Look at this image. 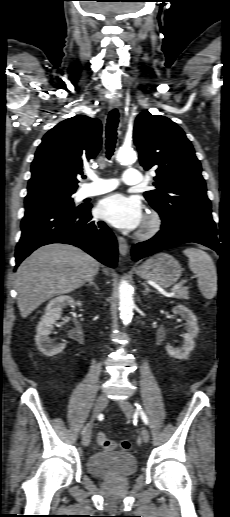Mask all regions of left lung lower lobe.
Masks as SVG:
<instances>
[{
	"label": "left lung lower lobe",
	"mask_w": 230,
	"mask_h": 517,
	"mask_svg": "<svg viewBox=\"0 0 230 517\" xmlns=\"http://www.w3.org/2000/svg\"><path fill=\"white\" fill-rule=\"evenodd\" d=\"M161 219V230L153 238L132 247L134 261L188 242L205 245L220 254L221 247L217 240V230L211 209L184 210L171 218Z\"/></svg>",
	"instance_id": "1"
}]
</instances>
